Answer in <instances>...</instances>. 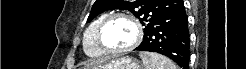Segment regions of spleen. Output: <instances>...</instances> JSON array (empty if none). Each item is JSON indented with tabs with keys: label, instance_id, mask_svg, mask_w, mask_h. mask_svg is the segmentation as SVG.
Here are the masks:
<instances>
[{
	"label": "spleen",
	"instance_id": "obj_1",
	"mask_svg": "<svg viewBox=\"0 0 246 69\" xmlns=\"http://www.w3.org/2000/svg\"><path fill=\"white\" fill-rule=\"evenodd\" d=\"M139 56L145 69H178L173 61L158 53L141 52Z\"/></svg>",
	"mask_w": 246,
	"mask_h": 69
}]
</instances>
